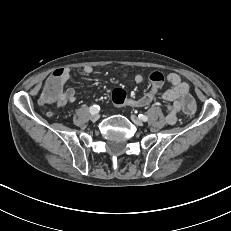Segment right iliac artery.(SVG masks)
<instances>
[{
  "mask_svg": "<svg viewBox=\"0 0 231 231\" xmlns=\"http://www.w3.org/2000/svg\"><path fill=\"white\" fill-rule=\"evenodd\" d=\"M100 111V106L99 105H93L89 108V112L91 114H97Z\"/></svg>",
  "mask_w": 231,
  "mask_h": 231,
  "instance_id": "right-iliac-artery-1",
  "label": "right iliac artery"
}]
</instances>
